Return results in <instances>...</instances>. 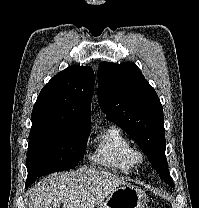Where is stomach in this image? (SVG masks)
<instances>
[{
  "label": "stomach",
  "instance_id": "stomach-1",
  "mask_svg": "<svg viewBox=\"0 0 199 208\" xmlns=\"http://www.w3.org/2000/svg\"><path fill=\"white\" fill-rule=\"evenodd\" d=\"M146 203V193L140 187L128 184L117 188L94 208H144Z\"/></svg>",
  "mask_w": 199,
  "mask_h": 208
}]
</instances>
